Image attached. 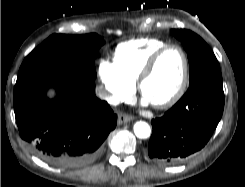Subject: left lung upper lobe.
<instances>
[{"label": "left lung upper lobe", "mask_w": 245, "mask_h": 187, "mask_svg": "<svg viewBox=\"0 0 245 187\" xmlns=\"http://www.w3.org/2000/svg\"><path fill=\"white\" fill-rule=\"evenodd\" d=\"M171 34L182 42L187 51L190 66V84L204 76L220 71L214 53L201 37L185 29H173Z\"/></svg>", "instance_id": "1"}]
</instances>
